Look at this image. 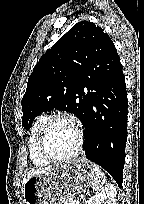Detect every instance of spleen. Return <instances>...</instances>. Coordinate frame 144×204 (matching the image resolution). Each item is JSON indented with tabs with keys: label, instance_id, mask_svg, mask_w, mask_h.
Returning <instances> with one entry per match:
<instances>
[{
	"label": "spleen",
	"instance_id": "obj_1",
	"mask_svg": "<svg viewBox=\"0 0 144 204\" xmlns=\"http://www.w3.org/2000/svg\"><path fill=\"white\" fill-rule=\"evenodd\" d=\"M105 180V174L98 166H96L94 169V179L92 182V188L94 190H100L101 186L105 183Z\"/></svg>",
	"mask_w": 144,
	"mask_h": 204
}]
</instances>
